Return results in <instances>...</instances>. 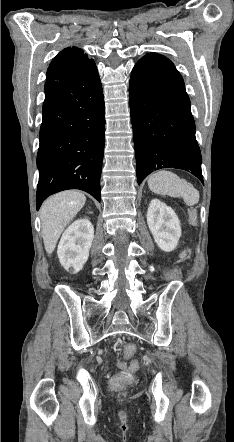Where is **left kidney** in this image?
Wrapping results in <instances>:
<instances>
[{"instance_id":"left-kidney-1","label":"left kidney","mask_w":234,"mask_h":442,"mask_svg":"<svg viewBox=\"0 0 234 442\" xmlns=\"http://www.w3.org/2000/svg\"><path fill=\"white\" fill-rule=\"evenodd\" d=\"M147 224L156 244L165 252L173 251L181 237L178 216L172 208L152 199L147 211Z\"/></svg>"}]
</instances>
